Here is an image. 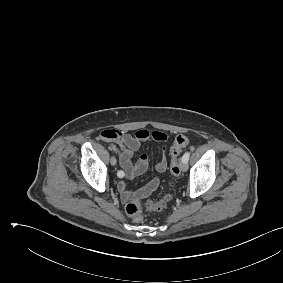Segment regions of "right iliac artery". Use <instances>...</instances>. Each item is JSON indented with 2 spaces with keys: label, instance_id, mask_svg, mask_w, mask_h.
I'll return each instance as SVG.
<instances>
[{
  "label": "right iliac artery",
  "instance_id": "obj_1",
  "mask_svg": "<svg viewBox=\"0 0 283 283\" xmlns=\"http://www.w3.org/2000/svg\"><path fill=\"white\" fill-rule=\"evenodd\" d=\"M111 148H112L114 151H116L115 146L111 145ZM121 173H122L121 171H118V172H117L118 177H120V174H121Z\"/></svg>",
  "mask_w": 283,
  "mask_h": 283
}]
</instances>
